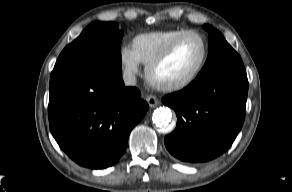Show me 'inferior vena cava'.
<instances>
[{
    "mask_svg": "<svg viewBox=\"0 0 292 192\" xmlns=\"http://www.w3.org/2000/svg\"><path fill=\"white\" fill-rule=\"evenodd\" d=\"M123 81L127 86H134L137 82L135 74L131 72H124Z\"/></svg>",
    "mask_w": 292,
    "mask_h": 192,
    "instance_id": "inferior-vena-cava-1",
    "label": "inferior vena cava"
}]
</instances>
